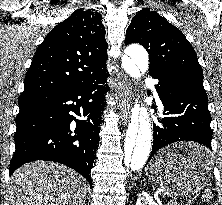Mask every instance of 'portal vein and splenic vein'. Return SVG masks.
I'll return each instance as SVG.
<instances>
[{
  "mask_svg": "<svg viewBox=\"0 0 222 205\" xmlns=\"http://www.w3.org/2000/svg\"><path fill=\"white\" fill-rule=\"evenodd\" d=\"M160 192H162L164 195H167L168 197H171V194L166 192V191H164V190H160ZM174 199H176V198H174Z\"/></svg>",
  "mask_w": 222,
  "mask_h": 205,
  "instance_id": "portal-vein-and-splenic-vein-1",
  "label": "portal vein and splenic vein"
}]
</instances>
